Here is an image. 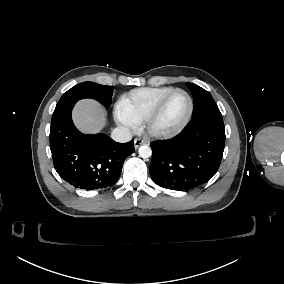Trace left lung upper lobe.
<instances>
[{
    "instance_id": "left-lung-upper-lobe-1",
    "label": "left lung upper lobe",
    "mask_w": 284,
    "mask_h": 284,
    "mask_svg": "<svg viewBox=\"0 0 284 284\" xmlns=\"http://www.w3.org/2000/svg\"><path fill=\"white\" fill-rule=\"evenodd\" d=\"M187 87L190 89L194 99L193 117L209 110H219L208 91L189 82L187 83Z\"/></svg>"
}]
</instances>
